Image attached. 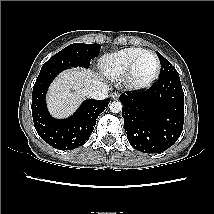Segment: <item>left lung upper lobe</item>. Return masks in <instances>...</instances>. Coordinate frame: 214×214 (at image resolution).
<instances>
[{"mask_svg": "<svg viewBox=\"0 0 214 214\" xmlns=\"http://www.w3.org/2000/svg\"><path fill=\"white\" fill-rule=\"evenodd\" d=\"M161 63V70L159 77L169 76V75H175L178 76V72L176 69L172 66V64L167 61L160 53L156 52Z\"/></svg>", "mask_w": 214, "mask_h": 214, "instance_id": "obj_1", "label": "left lung upper lobe"}]
</instances>
